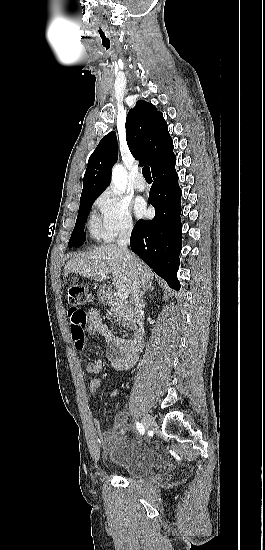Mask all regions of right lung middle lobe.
I'll use <instances>...</instances> for the list:
<instances>
[{
    "label": "right lung middle lobe",
    "mask_w": 265,
    "mask_h": 550,
    "mask_svg": "<svg viewBox=\"0 0 265 550\" xmlns=\"http://www.w3.org/2000/svg\"><path fill=\"white\" fill-rule=\"evenodd\" d=\"M95 198H85L80 199V207L78 212V217L76 220V224L74 227V230L72 232L71 238L68 243V247H79L84 243L85 240V234H84V226L85 222L88 216V213L96 200Z\"/></svg>",
    "instance_id": "dd1d6c3e"
}]
</instances>
